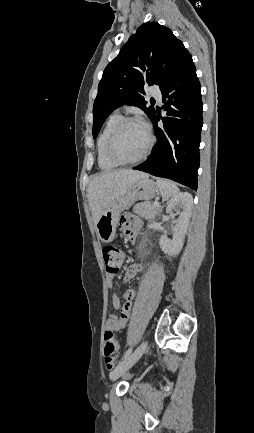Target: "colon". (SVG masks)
Listing matches in <instances>:
<instances>
[{
    "mask_svg": "<svg viewBox=\"0 0 254 433\" xmlns=\"http://www.w3.org/2000/svg\"><path fill=\"white\" fill-rule=\"evenodd\" d=\"M102 257L107 273L115 274L120 268L122 261V252L114 246H104ZM119 350L118 338L113 330H106L104 333V359L106 367L111 370L117 358Z\"/></svg>",
    "mask_w": 254,
    "mask_h": 433,
    "instance_id": "5ec220e1",
    "label": "colon"
}]
</instances>
